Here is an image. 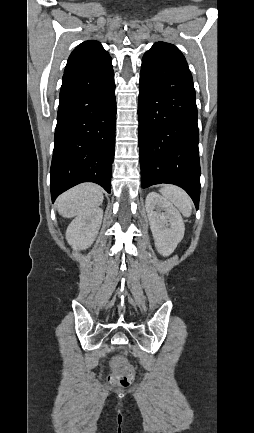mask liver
I'll return each instance as SVG.
<instances>
[{"instance_id":"1","label":"liver","mask_w":254,"mask_h":433,"mask_svg":"<svg viewBox=\"0 0 254 433\" xmlns=\"http://www.w3.org/2000/svg\"><path fill=\"white\" fill-rule=\"evenodd\" d=\"M102 188L93 183H84L66 191L57 199V210L65 218L81 215L102 204Z\"/></svg>"}]
</instances>
